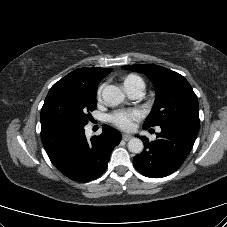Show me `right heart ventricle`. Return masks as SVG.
<instances>
[{
    "label": "right heart ventricle",
    "mask_w": 227,
    "mask_h": 227,
    "mask_svg": "<svg viewBox=\"0 0 227 227\" xmlns=\"http://www.w3.org/2000/svg\"><path fill=\"white\" fill-rule=\"evenodd\" d=\"M137 82H143L142 79L137 76V75H134V74H130L128 75L125 80H124V86H127V85H132V84H135Z\"/></svg>",
    "instance_id": "right-heart-ventricle-1"
}]
</instances>
